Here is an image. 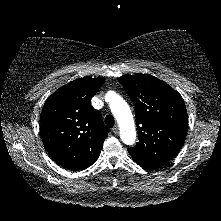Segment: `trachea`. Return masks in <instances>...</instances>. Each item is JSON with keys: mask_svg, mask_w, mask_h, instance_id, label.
Listing matches in <instances>:
<instances>
[{"mask_svg": "<svg viewBox=\"0 0 221 221\" xmlns=\"http://www.w3.org/2000/svg\"><path fill=\"white\" fill-rule=\"evenodd\" d=\"M105 124L109 128L113 127L115 124L114 117L112 115H107L105 117Z\"/></svg>", "mask_w": 221, "mask_h": 221, "instance_id": "obj_1", "label": "trachea"}]
</instances>
